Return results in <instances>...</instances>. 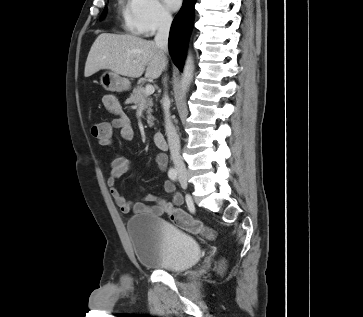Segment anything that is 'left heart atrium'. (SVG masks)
<instances>
[{
  "label": "left heart atrium",
  "mask_w": 363,
  "mask_h": 317,
  "mask_svg": "<svg viewBox=\"0 0 363 317\" xmlns=\"http://www.w3.org/2000/svg\"><path fill=\"white\" fill-rule=\"evenodd\" d=\"M163 1L167 9H169L170 11H176L181 5V0H163Z\"/></svg>",
  "instance_id": "left-heart-atrium-1"
}]
</instances>
